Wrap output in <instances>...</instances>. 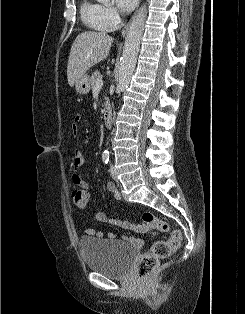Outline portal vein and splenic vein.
Listing matches in <instances>:
<instances>
[{"mask_svg": "<svg viewBox=\"0 0 245 314\" xmlns=\"http://www.w3.org/2000/svg\"><path fill=\"white\" fill-rule=\"evenodd\" d=\"M103 86L102 78H98L95 84V88H101Z\"/></svg>", "mask_w": 245, "mask_h": 314, "instance_id": "18ae733b", "label": "portal vein and splenic vein"}]
</instances>
